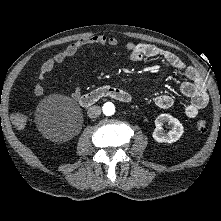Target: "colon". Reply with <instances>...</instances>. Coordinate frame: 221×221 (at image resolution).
Listing matches in <instances>:
<instances>
[{
    "instance_id": "1",
    "label": "colon",
    "mask_w": 221,
    "mask_h": 221,
    "mask_svg": "<svg viewBox=\"0 0 221 221\" xmlns=\"http://www.w3.org/2000/svg\"><path fill=\"white\" fill-rule=\"evenodd\" d=\"M12 122L18 129H23L27 123V116L24 113H16L12 117ZM196 128L200 133H205L208 130L206 121L198 120L196 122Z\"/></svg>"
}]
</instances>
